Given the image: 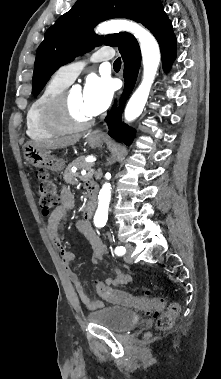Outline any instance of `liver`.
Here are the masks:
<instances>
[{
	"instance_id": "6515ba94",
	"label": "liver",
	"mask_w": 221,
	"mask_h": 379,
	"mask_svg": "<svg viewBox=\"0 0 221 379\" xmlns=\"http://www.w3.org/2000/svg\"><path fill=\"white\" fill-rule=\"evenodd\" d=\"M81 136H82L81 134H74L70 136H65V137L45 140V141H36V142L30 141V142H27L25 146L32 145L36 148L45 149V150L59 149V148H64L66 146L76 144L80 140Z\"/></svg>"
}]
</instances>
